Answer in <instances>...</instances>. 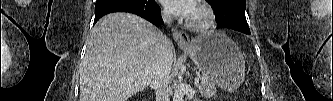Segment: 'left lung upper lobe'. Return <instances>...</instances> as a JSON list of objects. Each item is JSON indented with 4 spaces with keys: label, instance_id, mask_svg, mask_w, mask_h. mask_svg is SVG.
<instances>
[{
    "label": "left lung upper lobe",
    "instance_id": "5c2ea615",
    "mask_svg": "<svg viewBox=\"0 0 333 101\" xmlns=\"http://www.w3.org/2000/svg\"><path fill=\"white\" fill-rule=\"evenodd\" d=\"M207 1H213V0H207ZM220 15L229 17L230 20L233 19H245V8H237L234 1L226 0L224 4L221 7V11L219 12ZM226 20V19H225ZM229 22V20H227Z\"/></svg>",
    "mask_w": 333,
    "mask_h": 101
}]
</instances>
